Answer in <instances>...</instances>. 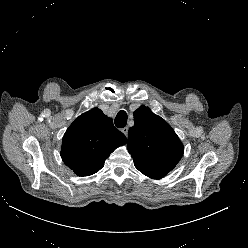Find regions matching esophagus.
Returning a JSON list of instances; mask_svg holds the SVG:
<instances>
[{
  "label": "esophagus",
  "mask_w": 248,
  "mask_h": 248,
  "mask_svg": "<svg viewBox=\"0 0 248 248\" xmlns=\"http://www.w3.org/2000/svg\"><path fill=\"white\" fill-rule=\"evenodd\" d=\"M121 131L123 132V134H124L125 136H128V127L122 128Z\"/></svg>",
  "instance_id": "34e87169"
}]
</instances>
